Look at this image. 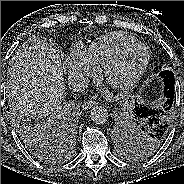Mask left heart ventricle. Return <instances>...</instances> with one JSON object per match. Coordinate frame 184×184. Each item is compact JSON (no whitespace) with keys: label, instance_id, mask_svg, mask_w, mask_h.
Masks as SVG:
<instances>
[{"label":"left heart ventricle","instance_id":"obj_1","mask_svg":"<svg viewBox=\"0 0 184 184\" xmlns=\"http://www.w3.org/2000/svg\"><path fill=\"white\" fill-rule=\"evenodd\" d=\"M143 58L144 51L141 49L129 52L118 64L110 69L106 80L109 83L123 82L138 69Z\"/></svg>","mask_w":184,"mask_h":184}]
</instances>
